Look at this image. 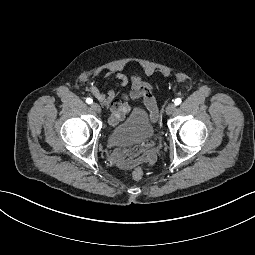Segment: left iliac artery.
Instances as JSON below:
<instances>
[{
	"label": "left iliac artery",
	"mask_w": 255,
	"mask_h": 255,
	"mask_svg": "<svg viewBox=\"0 0 255 255\" xmlns=\"http://www.w3.org/2000/svg\"><path fill=\"white\" fill-rule=\"evenodd\" d=\"M174 103H175V105H179L181 103V99L177 98Z\"/></svg>",
	"instance_id": "44dca946"
}]
</instances>
